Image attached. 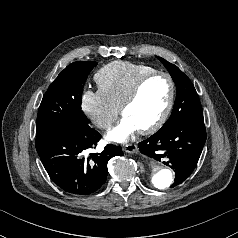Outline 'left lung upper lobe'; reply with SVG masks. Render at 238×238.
I'll return each mask as SVG.
<instances>
[{"label":"left lung upper lobe","mask_w":238,"mask_h":238,"mask_svg":"<svg viewBox=\"0 0 238 238\" xmlns=\"http://www.w3.org/2000/svg\"><path fill=\"white\" fill-rule=\"evenodd\" d=\"M175 82L177 96L172 114L162 128L184 119H204L198 94L190 79L174 64L158 57Z\"/></svg>","instance_id":"obj_1"}]
</instances>
